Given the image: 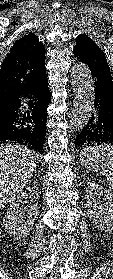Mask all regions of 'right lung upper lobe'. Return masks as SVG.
<instances>
[{
  "instance_id": "obj_1",
  "label": "right lung upper lobe",
  "mask_w": 113,
  "mask_h": 279,
  "mask_svg": "<svg viewBox=\"0 0 113 279\" xmlns=\"http://www.w3.org/2000/svg\"><path fill=\"white\" fill-rule=\"evenodd\" d=\"M44 74L45 48L33 33L18 39L0 70V110L12 108Z\"/></svg>"
}]
</instances>
